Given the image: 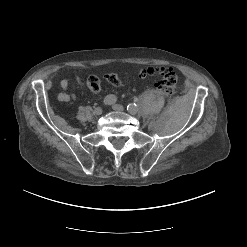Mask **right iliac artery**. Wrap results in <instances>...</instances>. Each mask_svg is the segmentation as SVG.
Segmentation results:
<instances>
[{
  "instance_id": "1",
  "label": "right iliac artery",
  "mask_w": 247,
  "mask_h": 247,
  "mask_svg": "<svg viewBox=\"0 0 247 247\" xmlns=\"http://www.w3.org/2000/svg\"><path fill=\"white\" fill-rule=\"evenodd\" d=\"M116 101H117V97H116L115 95H112V94L107 95V96L104 98V100H103L104 104H106V105H112V104H114Z\"/></svg>"
}]
</instances>
